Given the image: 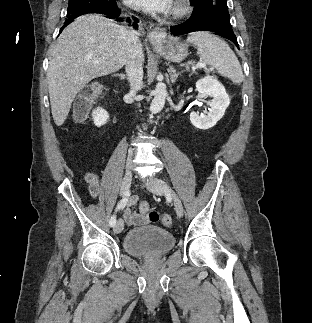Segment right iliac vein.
Listing matches in <instances>:
<instances>
[{
    "label": "right iliac vein",
    "instance_id": "obj_1",
    "mask_svg": "<svg viewBox=\"0 0 312 323\" xmlns=\"http://www.w3.org/2000/svg\"><path fill=\"white\" fill-rule=\"evenodd\" d=\"M132 181V172L130 169H127L124 173L122 184H121V195H127ZM123 230V220L119 219L114 227V233L119 234Z\"/></svg>",
    "mask_w": 312,
    "mask_h": 323
}]
</instances>
